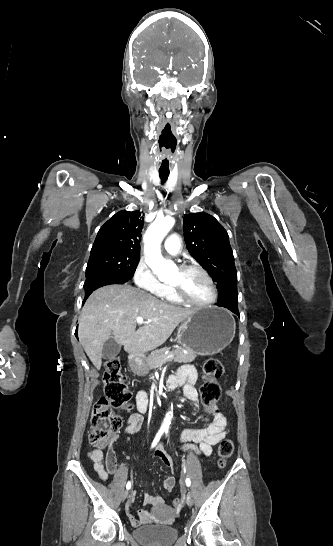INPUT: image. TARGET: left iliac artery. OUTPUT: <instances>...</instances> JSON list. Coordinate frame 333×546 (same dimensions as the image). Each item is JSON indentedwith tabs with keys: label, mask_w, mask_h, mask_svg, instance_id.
<instances>
[{
	"label": "left iliac artery",
	"mask_w": 333,
	"mask_h": 546,
	"mask_svg": "<svg viewBox=\"0 0 333 546\" xmlns=\"http://www.w3.org/2000/svg\"><path fill=\"white\" fill-rule=\"evenodd\" d=\"M166 434H168V431H167V430H166ZM185 482H186V485H187L188 487L191 485V481H190L189 478H186Z\"/></svg>",
	"instance_id": "obj_1"
}]
</instances>
